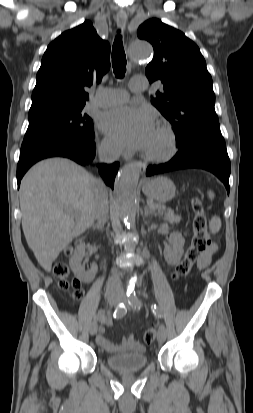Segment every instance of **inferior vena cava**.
<instances>
[{"label": "inferior vena cava", "mask_w": 253, "mask_h": 413, "mask_svg": "<svg viewBox=\"0 0 253 413\" xmlns=\"http://www.w3.org/2000/svg\"><path fill=\"white\" fill-rule=\"evenodd\" d=\"M99 159L101 162L112 163L119 157L120 150L110 144L103 145L99 148ZM108 193L102 181H98L95 191V218L98 223H105L108 216ZM121 281L119 274L115 272L107 282V292L119 291Z\"/></svg>", "instance_id": "602c4592"}]
</instances>
